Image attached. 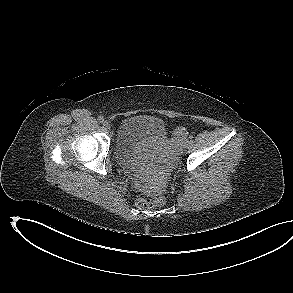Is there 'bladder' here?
<instances>
[{"instance_id": "obj_1", "label": "bladder", "mask_w": 293, "mask_h": 293, "mask_svg": "<svg viewBox=\"0 0 293 293\" xmlns=\"http://www.w3.org/2000/svg\"><path fill=\"white\" fill-rule=\"evenodd\" d=\"M167 139V129L162 119L146 114L125 118L117 131L113 153L121 164H130L136 150L145 143H162Z\"/></svg>"}]
</instances>
